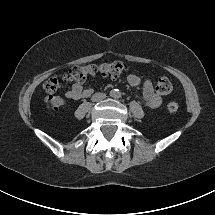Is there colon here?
<instances>
[{"label": "colon", "instance_id": "colon-1", "mask_svg": "<svg viewBox=\"0 0 215 215\" xmlns=\"http://www.w3.org/2000/svg\"><path fill=\"white\" fill-rule=\"evenodd\" d=\"M127 69L128 66L122 62L75 66L63 76V80L66 82H83L89 75H102L116 78L125 73ZM59 86L60 81L57 78H50L44 83V90L47 92L45 105L48 109H58L64 104V100L56 94ZM156 90L161 94H169L173 90V85L168 78L161 77L156 82ZM166 108L171 113L177 112L179 103L175 99H169Z\"/></svg>", "mask_w": 215, "mask_h": 215}]
</instances>
